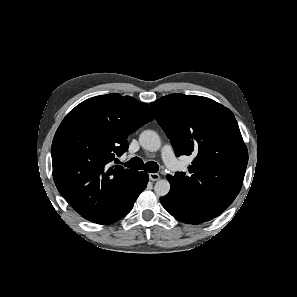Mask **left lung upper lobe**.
<instances>
[{
    "label": "left lung upper lobe",
    "mask_w": 297,
    "mask_h": 297,
    "mask_svg": "<svg viewBox=\"0 0 297 297\" xmlns=\"http://www.w3.org/2000/svg\"><path fill=\"white\" fill-rule=\"evenodd\" d=\"M150 105L176 155H196L187 174L167 176L171 189L217 217L240 192L248 163L234 114L212 99L180 93Z\"/></svg>",
    "instance_id": "left-lung-upper-lobe-1"
}]
</instances>
